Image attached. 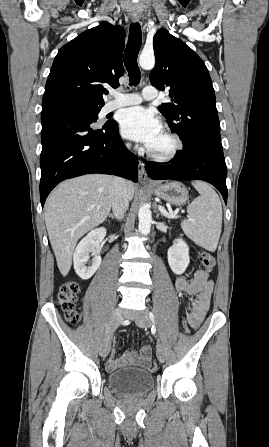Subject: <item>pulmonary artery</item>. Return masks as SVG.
Listing matches in <instances>:
<instances>
[{
  "label": "pulmonary artery",
  "mask_w": 269,
  "mask_h": 447,
  "mask_svg": "<svg viewBox=\"0 0 269 447\" xmlns=\"http://www.w3.org/2000/svg\"><path fill=\"white\" fill-rule=\"evenodd\" d=\"M158 96V91L152 86H146L141 92L130 94H115L113 99L109 101L104 109L112 111L120 107L139 104L143 101H150Z\"/></svg>",
  "instance_id": "e3ab8cb5"
}]
</instances>
